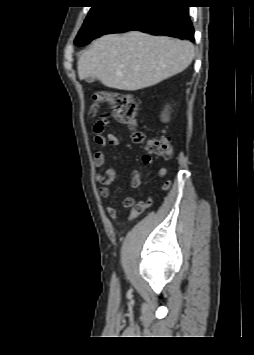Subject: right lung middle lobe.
I'll return each instance as SVG.
<instances>
[{"label":"right lung middle lobe","instance_id":"1","mask_svg":"<svg viewBox=\"0 0 254 355\" xmlns=\"http://www.w3.org/2000/svg\"><path fill=\"white\" fill-rule=\"evenodd\" d=\"M120 5L117 2H102L94 5L86 17L76 40L91 41L112 12Z\"/></svg>","mask_w":254,"mask_h":355}]
</instances>
